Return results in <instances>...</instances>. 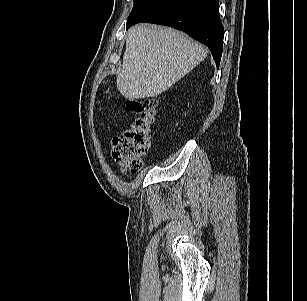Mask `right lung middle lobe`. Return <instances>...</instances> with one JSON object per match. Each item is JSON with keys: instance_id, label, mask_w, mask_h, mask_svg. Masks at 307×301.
<instances>
[{"instance_id": "1", "label": "right lung middle lobe", "mask_w": 307, "mask_h": 301, "mask_svg": "<svg viewBox=\"0 0 307 301\" xmlns=\"http://www.w3.org/2000/svg\"><path fill=\"white\" fill-rule=\"evenodd\" d=\"M165 0H134L133 9L127 19V25L159 6Z\"/></svg>"}]
</instances>
